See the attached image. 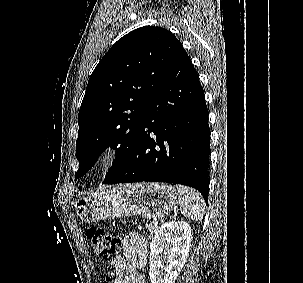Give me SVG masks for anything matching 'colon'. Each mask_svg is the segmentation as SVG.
I'll use <instances>...</instances> for the list:
<instances>
[{
  "mask_svg": "<svg viewBox=\"0 0 303 283\" xmlns=\"http://www.w3.org/2000/svg\"><path fill=\"white\" fill-rule=\"evenodd\" d=\"M87 237L95 253L102 258L111 257L122 247L120 239L101 228H90Z\"/></svg>",
  "mask_w": 303,
  "mask_h": 283,
  "instance_id": "5ec220e1",
  "label": "colon"
}]
</instances>
